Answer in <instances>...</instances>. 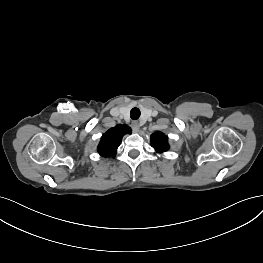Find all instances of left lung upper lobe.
I'll use <instances>...</instances> for the list:
<instances>
[{
    "label": "left lung upper lobe",
    "instance_id": "1",
    "mask_svg": "<svg viewBox=\"0 0 263 263\" xmlns=\"http://www.w3.org/2000/svg\"><path fill=\"white\" fill-rule=\"evenodd\" d=\"M150 143L157 152H165L170 148L167 136L161 132H155L152 134Z\"/></svg>",
    "mask_w": 263,
    "mask_h": 263
}]
</instances>
